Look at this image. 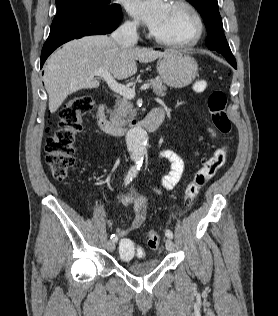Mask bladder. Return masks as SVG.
<instances>
[{
    "instance_id": "obj_1",
    "label": "bladder",
    "mask_w": 278,
    "mask_h": 316,
    "mask_svg": "<svg viewBox=\"0 0 278 316\" xmlns=\"http://www.w3.org/2000/svg\"><path fill=\"white\" fill-rule=\"evenodd\" d=\"M160 262L157 259H150L142 262H130L125 264V268L132 274L143 276L154 271Z\"/></svg>"
}]
</instances>
